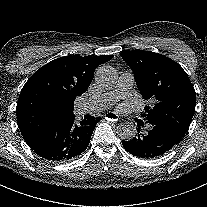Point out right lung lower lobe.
Instances as JSON below:
<instances>
[{"instance_id":"98d812e1","label":"right lung lower lobe","mask_w":207,"mask_h":207,"mask_svg":"<svg viewBox=\"0 0 207 207\" xmlns=\"http://www.w3.org/2000/svg\"><path fill=\"white\" fill-rule=\"evenodd\" d=\"M75 116L63 121L54 129L45 131L29 140L28 146L40 157L51 162H64L80 155L88 147L96 120L74 121Z\"/></svg>"}]
</instances>
